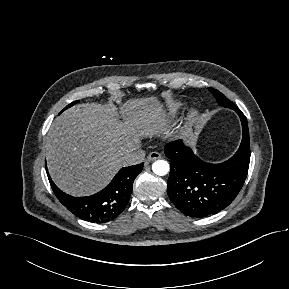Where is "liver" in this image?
I'll use <instances>...</instances> for the list:
<instances>
[{"label": "liver", "instance_id": "1", "mask_svg": "<svg viewBox=\"0 0 289 289\" xmlns=\"http://www.w3.org/2000/svg\"><path fill=\"white\" fill-rule=\"evenodd\" d=\"M164 123L156 97L132 99L119 112L99 104L74 106L54 120L47 134L50 176L67 194L92 195L127 166L124 157L139 149L140 137L152 135Z\"/></svg>", "mask_w": 289, "mask_h": 289}]
</instances>
